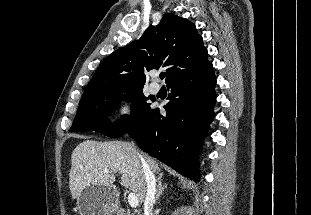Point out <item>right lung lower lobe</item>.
Returning a JSON list of instances; mask_svg holds the SVG:
<instances>
[{
    "mask_svg": "<svg viewBox=\"0 0 311 215\" xmlns=\"http://www.w3.org/2000/svg\"><path fill=\"white\" fill-rule=\"evenodd\" d=\"M216 77L212 63L171 80L170 100L164 108L147 113L129 134L151 156L184 176L199 180L197 159L216 102Z\"/></svg>",
    "mask_w": 311,
    "mask_h": 215,
    "instance_id": "98d812e1",
    "label": "right lung lower lobe"
}]
</instances>
